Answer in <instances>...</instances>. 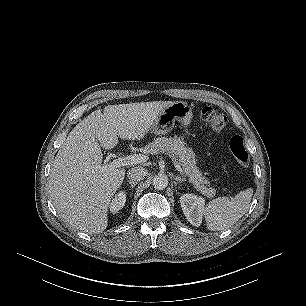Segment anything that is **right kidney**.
<instances>
[{
  "mask_svg": "<svg viewBox=\"0 0 306 306\" xmlns=\"http://www.w3.org/2000/svg\"><path fill=\"white\" fill-rule=\"evenodd\" d=\"M126 202V194L124 191H120L119 193H117L114 198L112 199V201L110 202V212L115 214L117 213L119 210H121Z\"/></svg>",
  "mask_w": 306,
  "mask_h": 306,
  "instance_id": "ca27d5eb",
  "label": "right kidney"
}]
</instances>
